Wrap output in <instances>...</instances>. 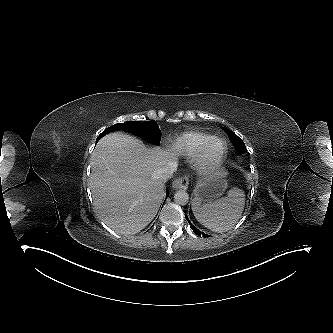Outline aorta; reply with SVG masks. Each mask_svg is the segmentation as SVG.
<instances>
[{"instance_id": "aorta-1", "label": "aorta", "mask_w": 333, "mask_h": 333, "mask_svg": "<svg viewBox=\"0 0 333 333\" xmlns=\"http://www.w3.org/2000/svg\"><path fill=\"white\" fill-rule=\"evenodd\" d=\"M174 201L179 205H186L189 201V195L184 190H179L174 194Z\"/></svg>"}]
</instances>
